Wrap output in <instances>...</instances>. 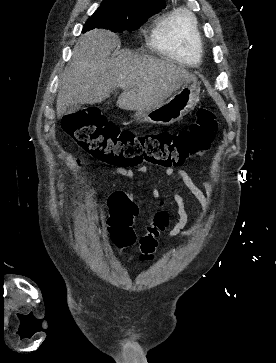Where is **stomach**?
Returning <instances> with one entry per match:
<instances>
[{
    "instance_id": "obj_1",
    "label": "stomach",
    "mask_w": 276,
    "mask_h": 363,
    "mask_svg": "<svg viewBox=\"0 0 276 363\" xmlns=\"http://www.w3.org/2000/svg\"><path fill=\"white\" fill-rule=\"evenodd\" d=\"M200 84L195 80L185 83L179 91L150 109L135 113V118L141 122L169 125L180 120L199 102Z\"/></svg>"
}]
</instances>
